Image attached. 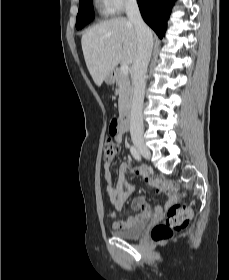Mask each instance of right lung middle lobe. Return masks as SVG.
Wrapping results in <instances>:
<instances>
[{
    "label": "right lung middle lobe",
    "instance_id": "1",
    "mask_svg": "<svg viewBox=\"0 0 229 280\" xmlns=\"http://www.w3.org/2000/svg\"><path fill=\"white\" fill-rule=\"evenodd\" d=\"M94 18L92 0H80L76 28L81 29Z\"/></svg>",
    "mask_w": 229,
    "mask_h": 280
}]
</instances>
